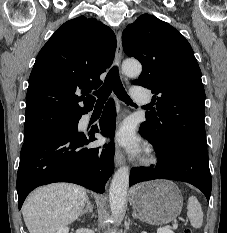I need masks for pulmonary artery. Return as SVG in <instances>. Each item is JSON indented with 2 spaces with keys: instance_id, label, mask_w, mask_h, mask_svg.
<instances>
[{
  "instance_id": "1",
  "label": "pulmonary artery",
  "mask_w": 227,
  "mask_h": 233,
  "mask_svg": "<svg viewBox=\"0 0 227 233\" xmlns=\"http://www.w3.org/2000/svg\"><path fill=\"white\" fill-rule=\"evenodd\" d=\"M131 96L134 100L138 101V102H146V98L145 96L143 95V93L138 90V89H132L131 90Z\"/></svg>"
}]
</instances>
